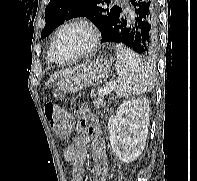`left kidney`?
<instances>
[{
  "instance_id": "obj_1",
  "label": "left kidney",
  "mask_w": 197,
  "mask_h": 181,
  "mask_svg": "<svg viewBox=\"0 0 197 181\" xmlns=\"http://www.w3.org/2000/svg\"><path fill=\"white\" fill-rule=\"evenodd\" d=\"M149 125V101L137 98L124 101L108 121L111 147L124 163L136 160L143 152Z\"/></svg>"
}]
</instances>
